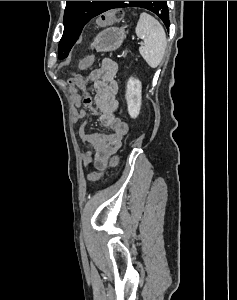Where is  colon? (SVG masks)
Instances as JSON below:
<instances>
[{
  "instance_id": "obj_1",
  "label": "colon",
  "mask_w": 237,
  "mask_h": 300,
  "mask_svg": "<svg viewBox=\"0 0 237 300\" xmlns=\"http://www.w3.org/2000/svg\"><path fill=\"white\" fill-rule=\"evenodd\" d=\"M122 17H123V12L121 10H118V9L109 10V11L103 13L102 15H100V17L97 20V24L99 26H106V25L116 24V23H118L122 20ZM93 61H94V58L92 56H88V57L84 58L83 60H81L78 63V68L79 69H85V68L91 66ZM79 80H80V75L73 74L69 79V83L71 85L75 86V85H78ZM117 164H118V157L113 156L110 160L109 166L106 169H103V170L97 171V172L89 173L88 176H87L88 180H90V181L99 180L111 168L115 167Z\"/></svg>"
}]
</instances>
